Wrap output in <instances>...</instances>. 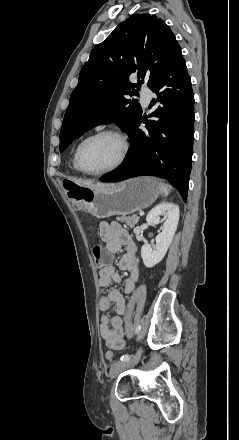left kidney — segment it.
Listing matches in <instances>:
<instances>
[{"label": "left kidney", "mask_w": 239, "mask_h": 440, "mask_svg": "<svg viewBox=\"0 0 239 440\" xmlns=\"http://www.w3.org/2000/svg\"><path fill=\"white\" fill-rule=\"evenodd\" d=\"M160 216L166 218L163 226H161V234L156 236L155 246L151 244H145L141 248V258L146 268H153L156 264H159L163 260L177 230L179 222V208L177 204H170V202H164V204H158L151 212H149L146 222L148 224H161L163 220H160Z\"/></svg>", "instance_id": "1"}]
</instances>
